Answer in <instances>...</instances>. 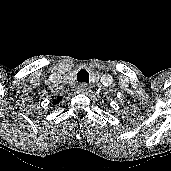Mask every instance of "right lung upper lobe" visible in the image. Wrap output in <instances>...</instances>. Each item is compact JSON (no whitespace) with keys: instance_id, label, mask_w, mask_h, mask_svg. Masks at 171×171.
I'll use <instances>...</instances> for the list:
<instances>
[{"instance_id":"obj_1","label":"right lung upper lobe","mask_w":171,"mask_h":171,"mask_svg":"<svg viewBox=\"0 0 171 171\" xmlns=\"http://www.w3.org/2000/svg\"><path fill=\"white\" fill-rule=\"evenodd\" d=\"M61 99H62L61 97H57V99L53 101V104L59 103V101H60Z\"/></svg>"}]
</instances>
